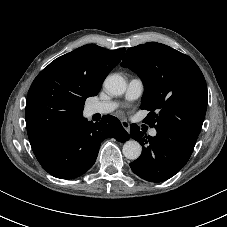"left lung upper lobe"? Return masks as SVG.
Masks as SVG:
<instances>
[{
    "label": "left lung upper lobe",
    "mask_w": 227,
    "mask_h": 227,
    "mask_svg": "<svg viewBox=\"0 0 227 227\" xmlns=\"http://www.w3.org/2000/svg\"><path fill=\"white\" fill-rule=\"evenodd\" d=\"M145 85L141 108L145 121L196 143L207 109V86L197 64L164 44L149 42L129 48L121 63Z\"/></svg>",
    "instance_id": "5c2ea615"
}]
</instances>
